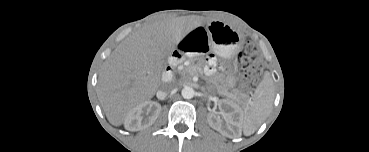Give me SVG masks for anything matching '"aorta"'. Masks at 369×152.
Returning <instances> with one entry per match:
<instances>
[{"label":"aorta","instance_id":"762f6f07","mask_svg":"<svg viewBox=\"0 0 369 152\" xmlns=\"http://www.w3.org/2000/svg\"><path fill=\"white\" fill-rule=\"evenodd\" d=\"M181 95L184 99H191L195 95V91L192 87L186 86L182 89Z\"/></svg>","mask_w":369,"mask_h":152}]
</instances>
